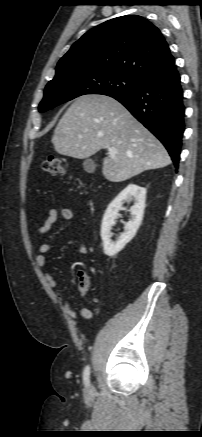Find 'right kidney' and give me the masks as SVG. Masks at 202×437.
<instances>
[{
  "label": "right kidney",
  "instance_id": "right-kidney-1",
  "mask_svg": "<svg viewBox=\"0 0 202 437\" xmlns=\"http://www.w3.org/2000/svg\"><path fill=\"white\" fill-rule=\"evenodd\" d=\"M146 189L136 184H129L108 206L102 220L101 238L103 241L104 253L113 257L120 252L125 245L136 235L143 220L145 209ZM134 200L130 208L131 219L125 225V231L116 241H112V226L122 208L124 201Z\"/></svg>",
  "mask_w": 202,
  "mask_h": 437
}]
</instances>
